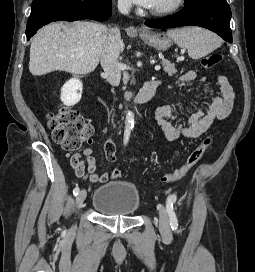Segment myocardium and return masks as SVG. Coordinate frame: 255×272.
<instances>
[{
    "label": "myocardium",
    "mask_w": 255,
    "mask_h": 272,
    "mask_svg": "<svg viewBox=\"0 0 255 272\" xmlns=\"http://www.w3.org/2000/svg\"><path fill=\"white\" fill-rule=\"evenodd\" d=\"M185 0H173L170 4L163 8L150 10L149 13L153 16H166L178 11L184 4Z\"/></svg>",
    "instance_id": "1"
}]
</instances>
